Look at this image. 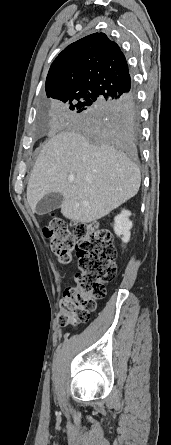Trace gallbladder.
Masks as SVG:
<instances>
[{"mask_svg":"<svg viewBox=\"0 0 171 445\" xmlns=\"http://www.w3.org/2000/svg\"><path fill=\"white\" fill-rule=\"evenodd\" d=\"M63 195L59 192H51L46 194L36 205L37 214L43 215L61 207L63 203Z\"/></svg>","mask_w":171,"mask_h":445,"instance_id":"bac80fb5","label":"gallbladder"}]
</instances>
